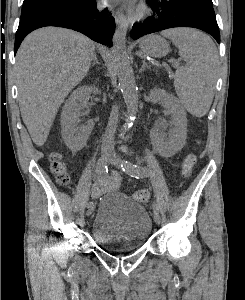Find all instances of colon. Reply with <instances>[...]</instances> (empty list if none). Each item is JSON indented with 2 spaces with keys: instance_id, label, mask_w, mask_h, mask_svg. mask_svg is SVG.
Masks as SVG:
<instances>
[{
  "instance_id": "5ec220e1",
  "label": "colon",
  "mask_w": 245,
  "mask_h": 300,
  "mask_svg": "<svg viewBox=\"0 0 245 300\" xmlns=\"http://www.w3.org/2000/svg\"><path fill=\"white\" fill-rule=\"evenodd\" d=\"M50 161H51V170L55 175L56 181L61 186H67L69 183V175L66 171V166L61 156L57 153H53L50 155ZM195 161H196V157L194 154H190L185 158L182 166L183 177H188L191 174ZM133 198L137 202L145 203L149 200V192L144 189L138 190L133 194Z\"/></svg>"
}]
</instances>
